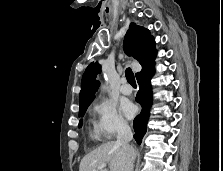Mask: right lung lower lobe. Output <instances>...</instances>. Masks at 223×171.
<instances>
[{
    "label": "right lung lower lobe",
    "instance_id": "1",
    "mask_svg": "<svg viewBox=\"0 0 223 171\" xmlns=\"http://www.w3.org/2000/svg\"><path fill=\"white\" fill-rule=\"evenodd\" d=\"M154 74V65L136 76L139 84V91L136 101L141 105L142 111L136 116L133 122L134 138L138 144H141L142 138L147 131V122L149 119V110L152 104V89L150 79Z\"/></svg>",
    "mask_w": 223,
    "mask_h": 171
}]
</instances>
